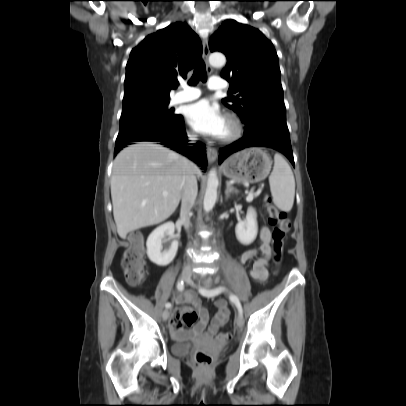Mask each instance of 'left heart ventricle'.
Wrapping results in <instances>:
<instances>
[{"mask_svg":"<svg viewBox=\"0 0 406 406\" xmlns=\"http://www.w3.org/2000/svg\"><path fill=\"white\" fill-rule=\"evenodd\" d=\"M230 130H231V129H230V126H229L228 123L225 121V126H224V130H223V132H222L221 137L227 135V134L230 132Z\"/></svg>","mask_w":406,"mask_h":406,"instance_id":"left-heart-ventricle-1","label":"left heart ventricle"}]
</instances>
